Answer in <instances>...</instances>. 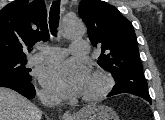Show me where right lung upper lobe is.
<instances>
[{
	"label": "right lung upper lobe",
	"mask_w": 165,
	"mask_h": 120,
	"mask_svg": "<svg viewBox=\"0 0 165 120\" xmlns=\"http://www.w3.org/2000/svg\"><path fill=\"white\" fill-rule=\"evenodd\" d=\"M42 0H15L0 11V61L22 59L32 44L49 39Z\"/></svg>",
	"instance_id": "obj_1"
}]
</instances>
